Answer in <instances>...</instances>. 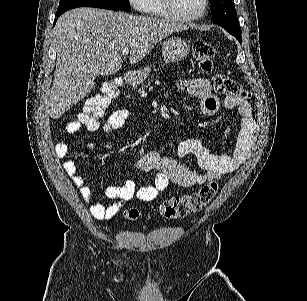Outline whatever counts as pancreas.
I'll list each match as a JSON object with an SVG mask.
<instances>
[{"label": "pancreas", "instance_id": "cf45deb5", "mask_svg": "<svg viewBox=\"0 0 307 301\" xmlns=\"http://www.w3.org/2000/svg\"><path fill=\"white\" fill-rule=\"evenodd\" d=\"M154 80V76H150V78H148V84H151V82H153Z\"/></svg>", "mask_w": 307, "mask_h": 301}]
</instances>
